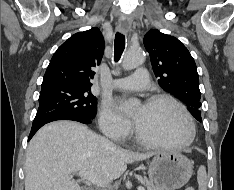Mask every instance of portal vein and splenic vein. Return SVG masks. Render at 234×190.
Listing matches in <instances>:
<instances>
[{"mask_svg": "<svg viewBox=\"0 0 234 190\" xmlns=\"http://www.w3.org/2000/svg\"><path fill=\"white\" fill-rule=\"evenodd\" d=\"M78 176H80L82 179L88 180L89 182L99 186V187H111L110 185H108L106 182H104L103 180L99 179L94 173L93 171H81L78 173ZM137 190H145L144 187L139 186L137 188Z\"/></svg>", "mask_w": 234, "mask_h": 190, "instance_id": "18ae733b", "label": "portal vein and splenic vein"}]
</instances>
